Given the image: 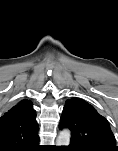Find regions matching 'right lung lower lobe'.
<instances>
[{
  "label": "right lung lower lobe",
  "instance_id": "right-lung-lower-lobe-1",
  "mask_svg": "<svg viewBox=\"0 0 118 151\" xmlns=\"http://www.w3.org/2000/svg\"><path fill=\"white\" fill-rule=\"evenodd\" d=\"M34 150H39V145L37 144V146L35 147V149ZM33 150V151H34Z\"/></svg>",
  "mask_w": 118,
  "mask_h": 151
}]
</instances>
